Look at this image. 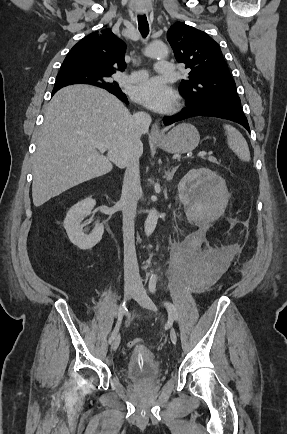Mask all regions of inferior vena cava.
<instances>
[{"label":"inferior vena cava","instance_id":"1","mask_svg":"<svg viewBox=\"0 0 287 434\" xmlns=\"http://www.w3.org/2000/svg\"><path fill=\"white\" fill-rule=\"evenodd\" d=\"M133 118L137 127V137L140 139V136L148 130L151 117L145 112H137ZM140 192L139 156L133 154L126 167L120 200L123 213L124 280L133 283L140 281L134 240L136 207Z\"/></svg>","mask_w":287,"mask_h":434}]
</instances>
